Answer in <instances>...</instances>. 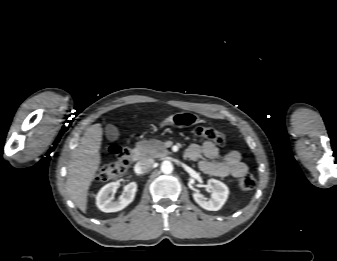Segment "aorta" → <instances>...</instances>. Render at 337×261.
Wrapping results in <instances>:
<instances>
[{
  "mask_svg": "<svg viewBox=\"0 0 337 261\" xmlns=\"http://www.w3.org/2000/svg\"><path fill=\"white\" fill-rule=\"evenodd\" d=\"M161 171L164 174H170L173 171V165L170 161L165 160L161 164Z\"/></svg>",
  "mask_w": 337,
  "mask_h": 261,
  "instance_id": "obj_1",
  "label": "aorta"
}]
</instances>
